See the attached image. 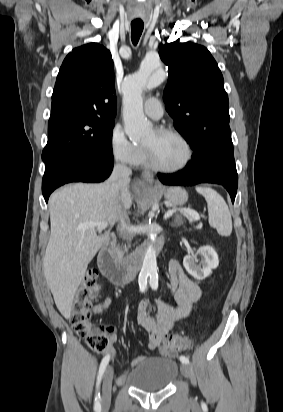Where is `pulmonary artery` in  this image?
<instances>
[{"instance_id":"obj_1","label":"pulmonary artery","mask_w":283,"mask_h":412,"mask_svg":"<svg viewBox=\"0 0 283 412\" xmlns=\"http://www.w3.org/2000/svg\"><path fill=\"white\" fill-rule=\"evenodd\" d=\"M144 113L153 120H159L163 116V107L159 98L150 97L144 104Z\"/></svg>"}]
</instances>
